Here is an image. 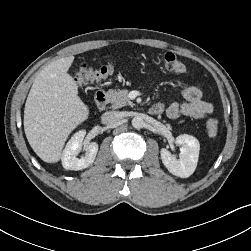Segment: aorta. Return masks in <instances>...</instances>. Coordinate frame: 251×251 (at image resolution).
I'll return each mask as SVG.
<instances>
[{
    "label": "aorta",
    "instance_id": "obj_1",
    "mask_svg": "<svg viewBox=\"0 0 251 251\" xmlns=\"http://www.w3.org/2000/svg\"><path fill=\"white\" fill-rule=\"evenodd\" d=\"M132 126L135 129H141L144 126V120L141 117H134L132 119Z\"/></svg>",
    "mask_w": 251,
    "mask_h": 251
}]
</instances>
